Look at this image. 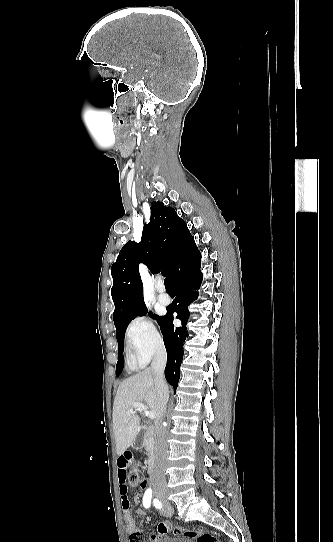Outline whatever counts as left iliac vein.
<instances>
[{"label": "left iliac vein", "instance_id": "obj_1", "mask_svg": "<svg viewBox=\"0 0 333 542\" xmlns=\"http://www.w3.org/2000/svg\"><path fill=\"white\" fill-rule=\"evenodd\" d=\"M164 502H165V508L161 511V513L166 517H170L173 515V507L168 502L167 498L164 499Z\"/></svg>", "mask_w": 333, "mask_h": 542}]
</instances>
